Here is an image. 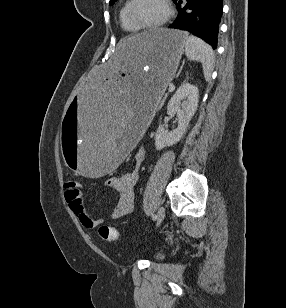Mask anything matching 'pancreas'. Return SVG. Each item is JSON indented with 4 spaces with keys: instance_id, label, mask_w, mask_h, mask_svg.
Wrapping results in <instances>:
<instances>
[{
    "instance_id": "1",
    "label": "pancreas",
    "mask_w": 286,
    "mask_h": 308,
    "mask_svg": "<svg viewBox=\"0 0 286 308\" xmlns=\"http://www.w3.org/2000/svg\"><path fill=\"white\" fill-rule=\"evenodd\" d=\"M164 100H159L156 102L155 107H160L163 104Z\"/></svg>"
}]
</instances>
